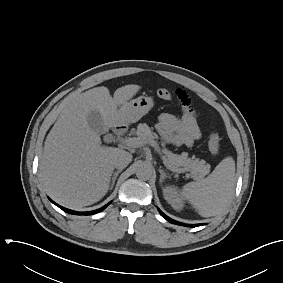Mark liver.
<instances>
[{
  "instance_id": "liver-1",
  "label": "liver",
  "mask_w": 283,
  "mask_h": 283,
  "mask_svg": "<svg viewBox=\"0 0 283 283\" xmlns=\"http://www.w3.org/2000/svg\"><path fill=\"white\" fill-rule=\"evenodd\" d=\"M141 86L118 88L114 97L108 88L95 87L71 98L64 106L44 142L40 171L43 185L56 202L81 208L102 199L109 190L114 156L122 149L101 145V138L88 124L87 117L100 113L104 130L121 122L118 109Z\"/></svg>"
}]
</instances>
